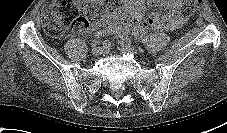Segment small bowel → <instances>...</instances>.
I'll return each instance as SVG.
<instances>
[{
	"label": "small bowel",
	"mask_w": 227,
	"mask_h": 133,
	"mask_svg": "<svg viewBox=\"0 0 227 133\" xmlns=\"http://www.w3.org/2000/svg\"><path fill=\"white\" fill-rule=\"evenodd\" d=\"M148 3L151 6H160L164 9L162 22L152 21L149 18L144 20V0H123L122 8L118 10L113 19L105 24H97L88 33L96 30L98 35L115 34L119 37L132 34L141 39L150 26L172 31L180 28L185 23V18L179 12L178 0H148ZM102 25L104 28L98 29Z\"/></svg>",
	"instance_id": "small-bowel-1"
}]
</instances>
